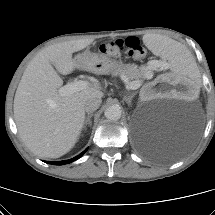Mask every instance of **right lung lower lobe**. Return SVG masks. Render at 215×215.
<instances>
[{
    "label": "right lung lower lobe",
    "instance_id": "98d812e1",
    "mask_svg": "<svg viewBox=\"0 0 215 215\" xmlns=\"http://www.w3.org/2000/svg\"><path fill=\"white\" fill-rule=\"evenodd\" d=\"M87 151V149H85L81 154L77 155L76 157L69 159V160H64V161H46L49 164H53V165H64V164H68L71 163L77 159H79L85 152Z\"/></svg>",
    "mask_w": 215,
    "mask_h": 215
}]
</instances>
